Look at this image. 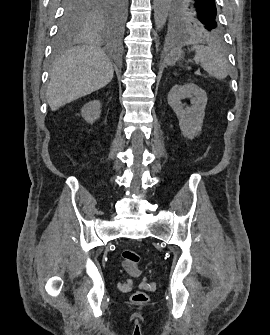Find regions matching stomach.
Returning a JSON list of instances; mask_svg holds the SVG:
<instances>
[{"label": "stomach", "instance_id": "stomach-1", "mask_svg": "<svg viewBox=\"0 0 270 335\" xmlns=\"http://www.w3.org/2000/svg\"><path fill=\"white\" fill-rule=\"evenodd\" d=\"M178 56H179V54H178ZM176 60H179V58H176Z\"/></svg>", "mask_w": 270, "mask_h": 335}]
</instances>
